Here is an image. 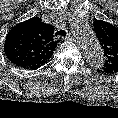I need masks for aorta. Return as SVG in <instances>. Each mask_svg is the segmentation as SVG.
<instances>
[{
  "instance_id": "1",
  "label": "aorta",
  "mask_w": 118,
  "mask_h": 118,
  "mask_svg": "<svg viewBox=\"0 0 118 118\" xmlns=\"http://www.w3.org/2000/svg\"><path fill=\"white\" fill-rule=\"evenodd\" d=\"M72 30L84 50L87 62L95 68L103 66L106 57L91 27L83 20H75Z\"/></svg>"
}]
</instances>
